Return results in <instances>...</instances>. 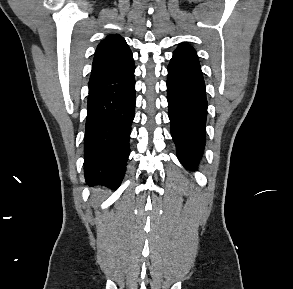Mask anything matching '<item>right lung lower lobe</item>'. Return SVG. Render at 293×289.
Listing matches in <instances>:
<instances>
[{
  "mask_svg": "<svg viewBox=\"0 0 293 289\" xmlns=\"http://www.w3.org/2000/svg\"><path fill=\"white\" fill-rule=\"evenodd\" d=\"M135 115V78L89 92L84 140V173L89 186L116 189L130 153Z\"/></svg>",
  "mask_w": 293,
  "mask_h": 289,
  "instance_id": "1",
  "label": "right lung lower lobe"
}]
</instances>
